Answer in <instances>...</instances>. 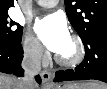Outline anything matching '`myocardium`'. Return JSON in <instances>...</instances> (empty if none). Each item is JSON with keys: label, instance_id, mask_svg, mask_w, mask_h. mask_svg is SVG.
Instances as JSON below:
<instances>
[{"label": "myocardium", "instance_id": "myocardium-1", "mask_svg": "<svg viewBox=\"0 0 107 89\" xmlns=\"http://www.w3.org/2000/svg\"><path fill=\"white\" fill-rule=\"evenodd\" d=\"M70 40L74 46V53L71 57H62L59 54L56 56V61L59 65L67 68L78 66L85 57V47L82 39L78 35H71Z\"/></svg>", "mask_w": 107, "mask_h": 89}]
</instances>
